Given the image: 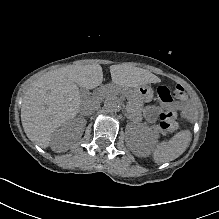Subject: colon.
I'll use <instances>...</instances> for the list:
<instances>
[{
    "instance_id": "1",
    "label": "colon",
    "mask_w": 219,
    "mask_h": 219,
    "mask_svg": "<svg viewBox=\"0 0 219 219\" xmlns=\"http://www.w3.org/2000/svg\"><path fill=\"white\" fill-rule=\"evenodd\" d=\"M172 95L177 99H184L186 97L184 88L180 85L175 87ZM159 121L160 128L166 133H173L177 129V114L173 109H168L161 112L159 115Z\"/></svg>"
}]
</instances>
